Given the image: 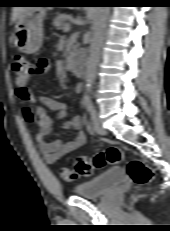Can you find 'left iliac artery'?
Segmentation results:
<instances>
[{
	"instance_id": "obj_1",
	"label": "left iliac artery",
	"mask_w": 170,
	"mask_h": 231,
	"mask_svg": "<svg viewBox=\"0 0 170 231\" xmlns=\"http://www.w3.org/2000/svg\"><path fill=\"white\" fill-rule=\"evenodd\" d=\"M90 94H91V90L88 89L87 94H86V96L84 98V105H85L88 113L90 114L91 118L93 119L97 114H96V110H95V107L93 105Z\"/></svg>"
}]
</instances>
